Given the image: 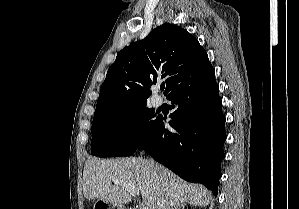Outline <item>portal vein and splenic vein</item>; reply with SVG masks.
Wrapping results in <instances>:
<instances>
[{
	"label": "portal vein and splenic vein",
	"instance_id": "portal-vein-and-splenic-vein-1",
	"mask_svg": "<svg viewBox=\"0 0 299 209\" xmlns=\"http://www.w3.org/2000/svg\"><path fill=\"white\" fill-rule=\"evenodd\" d=\"M113 183L114 184H120V185H123L125 186L129 192L133 195H139V191L137 190V188H135L134 186H131V185H127L125 184L124 182L122 181H119V180H113ZM143 209H149L148 207H143Z\"/></svg>",
	"mask_w": 299,
	"mask_h": 209
}]
</instances>
